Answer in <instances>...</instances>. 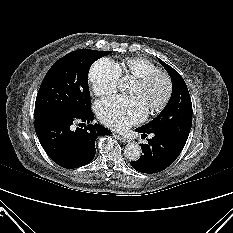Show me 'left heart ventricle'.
Returning <instances> with one entry per match:
<instances>
[{
  "label": "left heart ventricle",
  "mask_w": 233,
  "mask_h": 233,
  "mask_svg": "<svg viewBox=\"0 0 233 233\" xmlns=\"http://www.w3.org/2000/svg\"><path fill=\"white\" fill-rule=\"evenodd\" d=\"M166 92V83L162 77H156L146 86L141 87L136 82L131 88V95L138 97L146 110L161 102Z\"/></svg>",
  "instance_id": "1"
}]
</instances>
